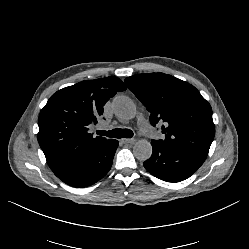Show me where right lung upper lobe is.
<instances>
[{
  "mask_svg": "<svg viewBox=\"0 0 249 249\" xmlns=\"http://www.w3.org/2000/svg\"><path fill=\"white\" fill-rule=\"evenodd\" d=\"M126 90L117 77L86 80L54 93L38 119V142L51 170L57 171L97 150L107 140L89 133L103 106L117 92Z\"/></svg>",
  "mask_w": 249,
  "mask_h": 249,
  "instance_id": "right-lung-upper-lobe-1",
  "label": "right lung upper lobe"
}]
</instances>
